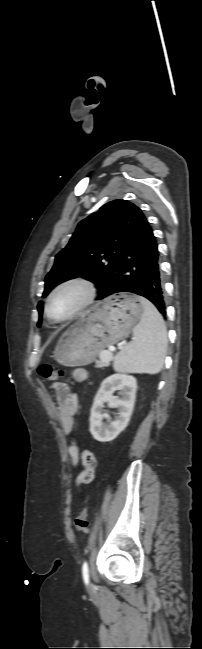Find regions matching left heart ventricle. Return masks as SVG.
Instances as JSON below:
<instances>
[{
  "instance_id": "b2bd125f",
  "label": "left heart ventricle",
  "mask_w": 202,
  "mask_h": 649,
  "mask_svg": "<svg viewBox=\"0 0 202 649\" xmlns=\"http://www.w3.org/2000/svg\"><path fill=\"white\" fill-rule=\"evenodd\" d=\"M84 291L79 286H70L59 291L51 300L49 308L55 318L68 316L83 300Z\"/></svg>"
}]
</instances>
